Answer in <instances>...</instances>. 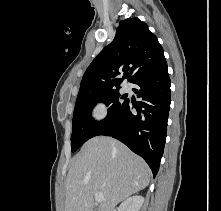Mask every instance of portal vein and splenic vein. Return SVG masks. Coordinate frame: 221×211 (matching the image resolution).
I'll return each instance as SVG.
<instances>
[{
  "label": "portal vein and splenic vein",
  "mask_w": 221,
  "mask_h": 211,
  "mask_svg": "<svg viewBox=\"0 0 221 211\" xmlns=\"http://www.w3.org/2000/svg\"><path fill=\"white\" fill-rule=\"evenodd\" d=\"M95 201L98 202V203H102L104 201V196L102 193L100 192H97L95 193Z\"/></svg>",
  "instance_id": "1"
}]
</instances>
